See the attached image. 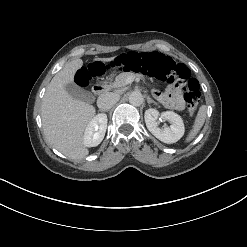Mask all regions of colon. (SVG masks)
<instances>
[{"label": "colon", "instance_id": "colon-1", "mask_svg": "<svg viewBox=\"0 0 247 247\" xmlns=\"http://www.w3.org/2000/svg\"><path fill=\"white\" fill-rule=\"evenodd\" d=\"M110 67L140 72L167 83L180 85L190 115L195 114L200 101L199 82L191 76L190 70L183 63L156 51L128 52L117 57L110 66L100 62L89 64L78 72L77 81L80 85H87L92 78L103 75Z\"/></svg>", "mask_w": 247, "mask_h": 247}]
</instances>
